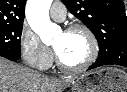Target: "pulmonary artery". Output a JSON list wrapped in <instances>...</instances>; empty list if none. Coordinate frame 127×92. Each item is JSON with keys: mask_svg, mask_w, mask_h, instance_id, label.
<instances>
[{"mask_svg": "<svg viewBox=\"0 0 127 92\" xmlns=\"http://www.w3.org/2000/svg\"><path fill=\"white\" fill-rule=\"evenodd\" d=\"M49 13L54 20L63 21L66 17V8L61 2L56 1L51 5Z\"/></svg>", "mask_w": 127, "mask_h": 92, "instance_id": "pulmonary-artery-1", "label": "pulmonary artery"}]
</instances>
